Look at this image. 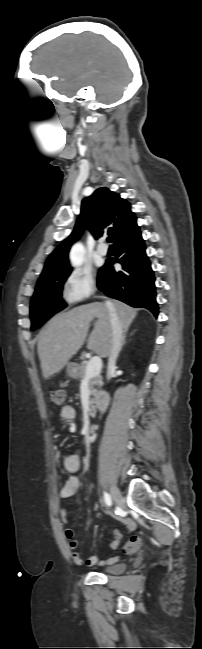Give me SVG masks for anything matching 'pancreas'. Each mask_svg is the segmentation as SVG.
<instances>
[{
  "mask_svg": "<svg viewBox=\"0 0 202 649\" xmlns=\"http://www.w3.org/2000/svg\"><path fill=\"white\" fill-rule=\"evenodd\" d=\"M87 364H88L87 362H82L80 365L77 366V377L76 378H78L80 380H83V379L86 378L85 370H86ZM88 385H89V388L91 390L90 392L93 395V398L90 400V406H91L90 410L93 411L94 408H95L94 404L96 403L97 396H98L97 388H99V387H101L103 385L101 375L98 374V375H96V376H94L92 378H89L88 379Z\"/></svg>",
  "mask_w": 202,
  "mask_h": 649,
  "instance_id": "pancreas-1",
  "label": "pancreas"
}]
</instances>
